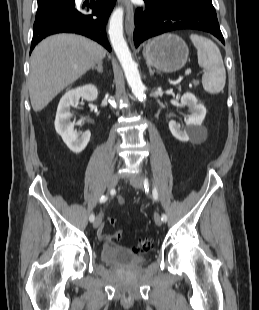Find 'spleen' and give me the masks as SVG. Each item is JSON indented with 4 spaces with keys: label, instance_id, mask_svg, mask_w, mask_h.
<instances>
[{
    "label": "spleen",
    "instance_id": "obj_1",
    "mask_svg": "<svg viewBox=\"0 0 259 310\" xmlns=\"http://www.w3.org/2000/svg\"><path fill=\"white\" fill-rule=\"evenodd\" d=\"M190 39L197 49L198 64L204 68V90L210 94L220 93L225 86L226 71L219 48L210 39L197 34H191Z\"/></svg>",
    "mask_w": 259,
    "mask_h": 310
}]
</instances>
